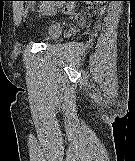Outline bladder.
Wrapping results in <instances>:
<instances>
[{
  "label": "bladder",
  "instance_id": "obj_1",
  "mask_svg": "<svg viewBox=\"0 0 135 161\" xmlns=\"http://www.w3.org/2000/svg\"><path fill=\"white\" fill-rule=\"evenodd\" d=\"M62 32V24L58 22L48 23L42 30L40 37L43 40H52Z\"/></svg>",
  "mask_w": 135,
  "mask_h": 161
}]
</instances>
